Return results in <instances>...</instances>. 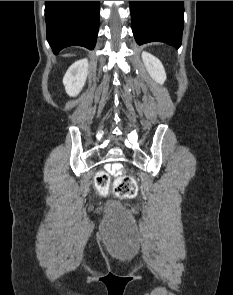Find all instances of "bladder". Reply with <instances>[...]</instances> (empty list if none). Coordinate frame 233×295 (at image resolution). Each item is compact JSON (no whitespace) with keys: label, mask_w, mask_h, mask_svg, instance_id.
Listing matches in <instances>:
<instances>
[{"label":"bladder","mask_w":233,"mask_h":295,"mask_svg":"<svg viewBox=\"0 0 233 295\" xmlns=\"http://www.w3.org/2000/svg\"><path fill=\"white\" fill-rule=\"evenodd\" d=\"M108 208H109V210H112V211H117L119 209V207L116 203L109 204Z\"/></svg>","instance_id":"1"}]
</instances>
